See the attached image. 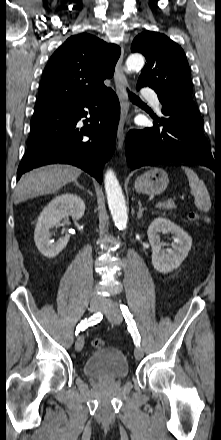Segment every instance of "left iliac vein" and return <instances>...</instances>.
<instances>
[{"label":"left iliac vein","instance_id":"left-iliac-vein-1","mask_svg":"<svg viewBox=\"0 0 221 440\" xmlns=\"http://www.w3.org/2000/svg\"><path fill=\"white\" fill-rule=\"evenodd\" d=\"M101 310L105 313L111 323L119 324L123 319L118 305L111 299L107 298L102 301ZM134 356L138 360L143 357V350L140 346L135 348Z\"/></svg>","mask_w":221,"mask_h":440}]
</instances>
